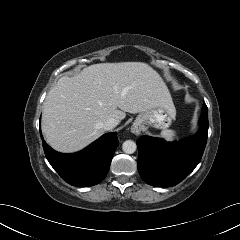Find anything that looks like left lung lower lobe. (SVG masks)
<instances>
[{
    "mask_svg": "<svg viewBox=\"0 0 240 240\" xmlns=\"http://www.w3.org/2000/svg\"><path fill=\"white\" fill-rule=\"evenodd\" d=\"M208 136V111L204 104L200 128L192 138L175 143L141 136L137 140L138 171L151 186L171 187L185 179L198 165Z\"/></svg>",
    "mask_w": 240,
    "mask_h": 240,
    "instance_id": "obj_1",
    "label": "left lung lower lobe"
}]
</instances>
